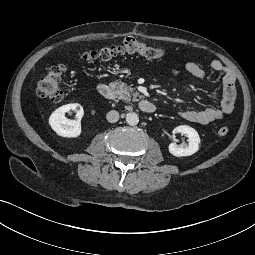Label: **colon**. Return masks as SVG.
I'll return each mask as SVG.
<instances>
[{
	"instance_id": "1",
	"label": "colon",
	"mask_w": 255,
	"mask_h": 255,
	"mask_svg": "<svg viewBox=\"0 0 255 255\" xmlns=\"http://www.w3.org/2000/svg\"><path fill=\"white\" fill-rule=\"evenodd\" d=\"M124 53H137L148 59H160L164 56L165 51L162 47H155L142 43L135 38L127 37L115 45H107L97 50L89 51L81 55L80 59L89 60H107L116 55ZM66 71L64 65H55L51 67L38 81L36 94L40 98H45L53 102H60L63 98L61 82ZM229 132L227 126L218 129L220 136H225Z\"/></svg>"
}]
</instances>
